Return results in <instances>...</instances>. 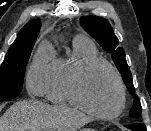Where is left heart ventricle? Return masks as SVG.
<instances>
[{
	"label": "left heart ventricle",
	"instance_id": "left-heart-ventricle-1",
	"mask_svg": "<svg viewBox=\"0 0 151 131\" xmlns=\"http://www.w3.org/2000/svg\"><path fill=\"white\" fill-rule=\"evenodd\" d=\"M85 96L98 112L113 113L120 101L117 82L112 73L103 66L91 71L84 83Z\"/></svg>",
	"mask_w": 151,
	"mask_h": 131
}]
</instances>
